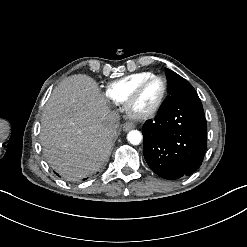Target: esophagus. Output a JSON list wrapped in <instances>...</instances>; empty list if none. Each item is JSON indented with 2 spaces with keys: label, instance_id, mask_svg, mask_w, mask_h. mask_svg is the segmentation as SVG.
I'll use <instances>...</instances> for the list:
<instances>
[{
  "label": "esophagus",
  "instance_id": "esophagus-1",
  "mask_svg": "<svg viewBox=\"0 0 247 247\" xmlns=\"http://www.w3.org/2000/svg\"><path fill=\"white\" fill-rule=\"evenodd\" d=\"M135 127H136V125H135L133 122H130V121L125 122V123L123 124V130H124L125 132H128V131L131 130V129H134Z\"/></svg>",
  "mask_w": 247,
  "mask_h": 247
}]
</instances>
